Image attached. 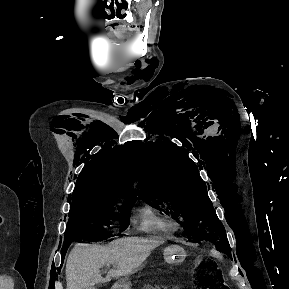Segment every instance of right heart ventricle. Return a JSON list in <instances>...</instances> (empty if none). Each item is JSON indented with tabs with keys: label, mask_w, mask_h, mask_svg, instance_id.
<instances>
[{
	"label": "right heart ventricle",
	"mask_w": 289,
	"mask_h": 289,
	"mask_svg": "<svg viewBox=\"0 0 289 289\" xmlns=\"http://www.w3.org/2000/svg\"><path fill=\"white\" fill-rule=\"evenodd\" d=\"M134 227L144 233L173 234L178 229L177 222L168 214L155 209L149 204L138 208L132 216Z\"/></svg>",
	"instance_id": "right-heart-ventricle-1"
}]
</instances>
